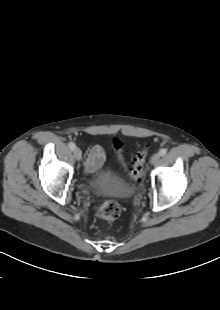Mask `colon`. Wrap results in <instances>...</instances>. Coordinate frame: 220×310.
<instances>
[{
    "label": "colon",
    "mask_w": 220,
    "mask_h": 310,
    "mask_svg": "<svg viewBox=\"0 0 220 310\" xmlns=\"http://www.w3.org/2000/svg\"><path fill=\"white\" fill-rule=\"evenodd\" d=\"M114 147L117 152V159L122 166L123 169H126L123 156H122V143L118 140L114 141ZM148 145L146 144L143 148L139 149L135 157L133 159L132 167L128 171V176L133 181H139L143 176L144 171V163L145 158L148 152ZM121 214V207L118 202L114 200H107L102 203L99 208L97 209V216L100 219L104 220H115Z\"/></svg>",
    "instance_id": "1"
}]
</instances>
